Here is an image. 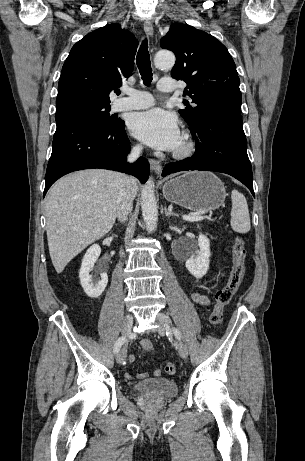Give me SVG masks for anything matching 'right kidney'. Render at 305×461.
<instances>
[{"instance_id":"obj_1","label":"right kidney","mask_w":305,"mask_h":461,"mask_svg":"<svg viewBox=\"0 0 305 461\" xmlns=\"http://www.w3.org/2000/svg\"><path fill=\"white\" fill-rule=\"evenodd\" d=\"M100 254V246L97 244L92 245L85 253L79 271L81 286L86 295L91 298L99 297L108 283V275L106 272H100V277L90 275V272L94 268V263L97 261Z\"/></svg>"}]
</instances>
